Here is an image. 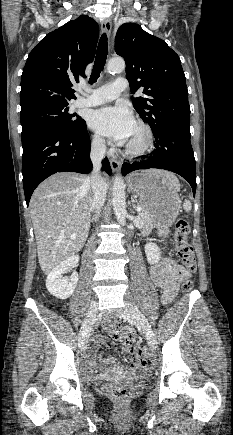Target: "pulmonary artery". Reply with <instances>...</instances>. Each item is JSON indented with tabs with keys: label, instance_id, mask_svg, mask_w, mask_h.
Segmentation results:
<instances>
[{
	"label": "pulmonary artery",
	"instance_id": "obj_1",
	"mask_svg": "<svg viewBox=\"0 0 233 435\" xmlns=\"http://www.w3.org/2000/svg\"><path fill=\"white\" fill-rule=\"evenodd\" d=\"M126 87V79L119 77L114 83L105 84L94 90L90 96H79L75 101V107L96 106L114 100L126 90Z\"/></svg>",
	"mask_w": 233,
	"mask_h": 435
}]
</instances>
